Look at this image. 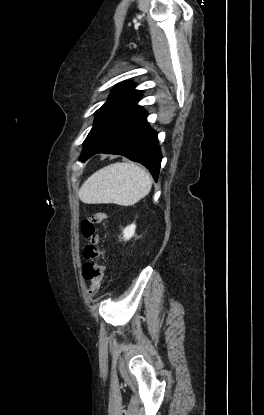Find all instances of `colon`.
I'll return each mask as SVG.
<instances>
[{
    "mask_svg": "<svg viewBox=\"0 0 264 415\" xmlns=\"http://www.w3.org/2000/svg\"><path fill=\"white\" fill-rule=\"evenodd\" d=\"M107 217L105 211H93L81 221V234L88 240L83 251L85 259L84 277L90 283L89 293L94 295L101 288L105 274L103 264L104 251L100 245V238L96 234V229Z\"/></svg>",
    "mask_w": 264,
    "mask_h": 415,
    "instance_id": "1",
    "label": "colon"
}]
</instances>
